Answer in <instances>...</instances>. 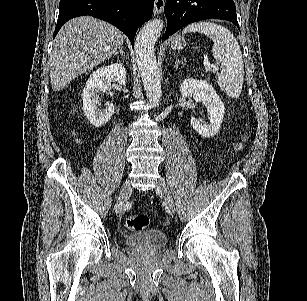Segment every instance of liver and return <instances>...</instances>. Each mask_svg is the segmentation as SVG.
Here are the masks:
<instances>
[{"label": "liver", "mask_w": 307, "mask_h": 301, "mask_svg": "<svg viewBox=\"0 0 307 301\" xmlns=\"http://www.w3.org/2000/svg\"><path fill=\"white\" fill-rule=\"evenodd\" d=\"M123 32L99 18L76 16L63 24L53 40L50 56L52 90L110 58L124 42Z\"/></svg>", "instance_id": "obj_1"}]
</instances>
